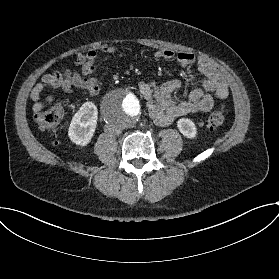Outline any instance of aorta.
Here are the masks:
<instances>
[{"label":"aorta","instance_id":"aorta-1","mask_svg":"<svg viewBox=\"0 0 279 279\" xmlns=\"http://www.w3.org/2000/svg\"><path fill=\"white\" fill-rule=\"evenodd\" d=\"M101 109L108 126L120 130L133 127L142 112L140 99L127 88L110 91L104 97Z\"/></svg>","mask_w":279,"mask_h":279}]
</instances>
